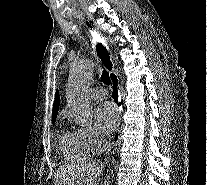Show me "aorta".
<instances>
[{"label": "aorta", "instance_id": "1", "mask_svg": "<svg viewBox=\"0 0 207 185\" xmlns=\"http://www.w3.org/2000/svg\"><path fill=\"white\" fill-rule=\"evenodd\" d=\"M94 68V62L86 59L75 62L69 72L66 99L76 122L81 126L91 124L93 117L88 91Z\"/></svg>", "mask_w": 207, "mask_h": 185}]
</instances>
